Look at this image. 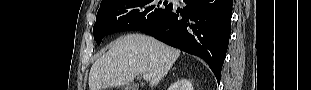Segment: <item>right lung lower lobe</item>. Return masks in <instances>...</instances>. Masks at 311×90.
I'll use <instances>...</instances> for the list:
<instances>
[{
	"label": "right lung lower lobe",
	"mask_w": 311,
	"mask_h": 90,
	"mask_svg": "<svg viewBox=\"0 0 311 90\" xmlns=\"http://www.w3.org/2000/svg\"><path fill=\"white\" fill-rule=\"evenodd\" d=\"M158 22L140 29L156 39L206 61L220 82L232 17V0H184ZM182 16V18L180 17Z\"/></svg>",
	"instance_id": "1"
}]
</instances>
